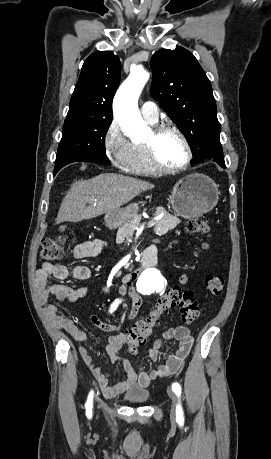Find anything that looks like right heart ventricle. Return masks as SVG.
Listing matches in <instances>:
<instances>
[{
  "label": "right heart ventricle",
  "instance_id": "1",
  "mask_svg": "<svg viewBox=\"0 0 271 459\" xmlns=\"http://www.w3.org/2000/svg\"><path fill=\"white\" fill-rule=\"evenodd\" d=\"M124 169L138 175L151 174L157 170L150 158L145 142H130Z\"/></svg>",
  "mask_w": 271,
  "mask_h": 459
}]
</instances>
